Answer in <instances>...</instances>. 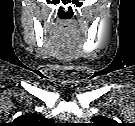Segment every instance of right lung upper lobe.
Masks as SVG:
<instances>
[{
	"instance_id": "right-lung-upper-lobe-1",
	"label": "right lung upper lobe",
	"mask_w": 135,
	"mask_h": 126,
	"mask_svg": "<svg viewBox=\"0 0 135 126\" xmlns=\"http://www.w3.org/2000/svg\"><path fill=\"white\" fill-rule=\"evenodd\" d=\"M37 116H38L37 114H29V115L21 116L18 119H27V118L35 119Z\"/></svg>"
}]
</instances>
